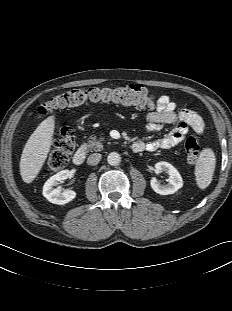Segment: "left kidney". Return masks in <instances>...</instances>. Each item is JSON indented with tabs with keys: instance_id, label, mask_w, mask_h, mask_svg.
<instances>
[{
	"instance_id": "obj_1",
	"label": "left kidney",
	"mask_w": 232,
	"mask_h": 311,
	"mask_svg": "<svg viewBox=\"0 0 232 311\" xmlns=\"http://www.w3.org/2000/svg\"><path fill=\"white\" fill-rule=\"evenodd\" d=\"M155 172H165L169 178L166 185H162L156 178H152L150 184L152 189L160 195H168L175 193L183 186V180L178 170L168 162H158L155 164Z\"/></svg>"
}]
</instances>
